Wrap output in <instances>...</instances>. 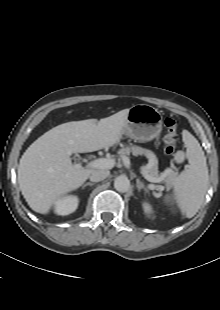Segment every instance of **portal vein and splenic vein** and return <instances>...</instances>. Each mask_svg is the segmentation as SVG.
<instances>
[{"instance_id": "18ae733b", "label": "portal vein and splenic vein", "mask_w": 220, "mask_h": 310, "mask_svg": "<svg viewBox=\"0 0 220 310\" xmlns=\"http://www.w3.org/2000/svg\"><path fill=\"white\" fill-rule=\"evenodd\" d=\"M115 161L111 158H99L95 159L88 163L89 168H95V169H111L114 167ZM141 173L143 177L153 183H159L163 181V177H153L149 175L144 169L141 170ZM156 187H153L155 189Z\"/></svg>"}]
</instances>
